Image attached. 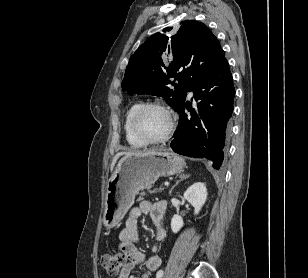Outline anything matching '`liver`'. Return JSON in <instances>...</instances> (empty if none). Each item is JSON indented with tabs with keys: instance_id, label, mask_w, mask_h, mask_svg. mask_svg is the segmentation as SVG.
Masks as SVG:
<instances>
[{
	"instance_id": "1",
	"label": "liver",
	"mask_w": 308,
	"mask_h": 278,
	"mask_svg": "<svg viewBox=\"0 0 308 278\" xmlns=\"http://www.w3.org/2000/svg\"><path fill=\"white\" fill-rule=\"evenodd\" d=\"M134 153H138V152H119L115 155V157L113 158L112 164H111V171L113 170L115 163L117 162L118 158L122 155H129V154H134Z\"/></svg>"
}]
</instances>
